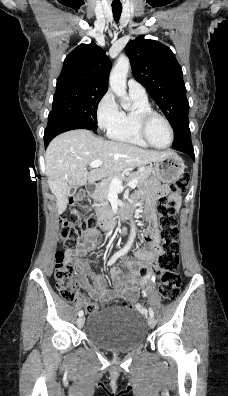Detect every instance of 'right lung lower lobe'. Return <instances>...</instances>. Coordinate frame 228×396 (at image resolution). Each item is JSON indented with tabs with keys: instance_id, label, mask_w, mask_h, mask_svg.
Returning a JSON list of instances; mask_svg holds the SVG:
<instances>
[{
	"instance_id": "right-lung-lower-lobe-1",
	"label": "right lung lower lobe",
	"mask_w": 228,
	"mask_h": 396,
	"mask_svg": "<svg viewBox=\"0 0 228 396\" xmlns=\"http://www.w3.org/2000/svg\"><path fill=\"white\" fill-rule=\"evenodd\" d=\"M74 129H87L85 125L65 117H48V125L44 133L45 148L58 134Z\"/></svg>"
}]
</instances>
